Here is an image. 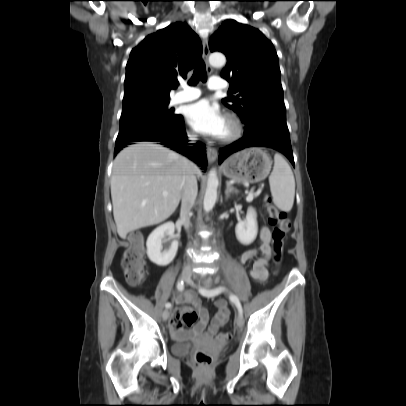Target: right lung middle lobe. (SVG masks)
I'll return each mask as SVG.
<instances>
[{
  "label": "right lung middle lobe",
  "instance_id": "right-lung-middle-lobe-1",
  "mask_svg": "<svg viewBox=\"0 0 406 406\" xmlns=\"http://www.w3.org/2000/svg\"><path fill=\"white\" fill-rule=\"evenodd\" d=\"M169 100H144L122 107L117 138L154 132L172 126L180 115L168 108Z\"/></svg>",
  "mask_w": 406,
  "mask_h": 406
}]
</instances>
